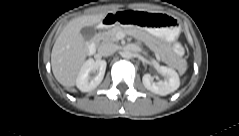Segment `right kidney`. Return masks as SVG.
<instances>
[{
    "label": "right kidney",
    "instance_id": "1",
    "mask_svg": "<svg viewBox=\"0 0 239 136\" xmlns=\"http://www.w3.org/2000/svg\"><path fill=\"white\" fill-rule=\"evenodd\" d=\"M107 63L104 60H87L81 67L76 79V86L82 92L94 90L103 80ZM95 73V76H91Z\"/></svg>",
    "mask_w": 239,
    "mask_h": 136
}]
</instances>
